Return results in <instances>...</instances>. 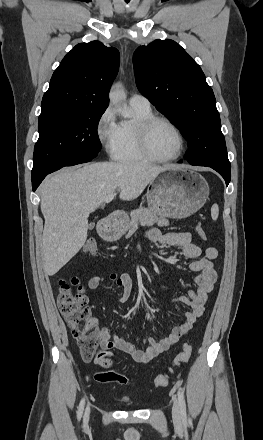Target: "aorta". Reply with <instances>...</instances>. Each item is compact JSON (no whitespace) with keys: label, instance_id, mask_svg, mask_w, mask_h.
<instances>
[{"label":"aorta","instance_id":"obj_1","mask_svg":"<svg viewBox=\"0 0 263 440\" xmlns=\"http://www.w3.org/2000/svg\"><path fill=\"white\" fill-rule=\"evenodd\" d=\"M125 97H126V95H125L122 84L117 83L112 86V88L109 92L110 103H112L113 105H119L125 99ZM119 113L124 118H131L132 117L131 111L126 110V109L120 110Z\"/></svg>","mask_w":263,"mask_h":440}]
</instances>
